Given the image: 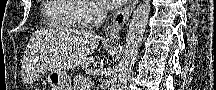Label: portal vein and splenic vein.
<instances>
[{"mask_svg": "<svg viewBox=\"0 0 216 90\" xmlns=\"http://www.w3.org/2000/svg\"><path fill=\"white\" fill-rule=\"evenodd\" d=\"M90 82H91V80H88V78H84L83 84L81 86V90H89Z\"/></svg>", "mask_w": 216, "mask_h": 90, "instance_id": "obj_1", "label": "portal vein and splenic vein"}]
</instances>
